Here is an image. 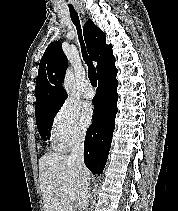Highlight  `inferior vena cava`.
Segmentation results:
<instances>
[{
  "mask_svg": "<svg viewBox=\"0 0 178 211\" xmlns=\"http://www.w3.org/2000/svg\"><path fill=\"white\" fill-rule=\"evenodd\" d=\"M84 139H85V131H80L77 133V135L73 138L71 142L70 159L74 160L80 169H85L83 160ZM88 187H89L88 179H85L84 184L82 186L83 209H86L88 205Z\"/></svg>",
  "mask_w": 178,
  "mask_h": 211,
  "instance_id": "inferior-vena-cava-1",
  "label": "inferior vena cava"
}]
</instances>
